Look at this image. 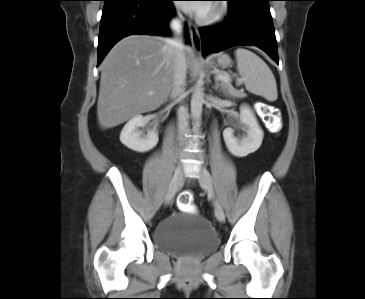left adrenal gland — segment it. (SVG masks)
Returning <instances> with one entry per match:
<instances>
[{"label":"left adrenal gland","instance_id":"a2214340","mask_svg":"<svg viewBox=\"0 0 365 299\" xmlns=\"http://www.w3.org/2000/svg\"><path fill=\"white\" fill-rule=\"evenodd\" d=\"M214 89H215V91H219V92L223 91V88L220 86V83L217 79L215 80Z\"/></svg>","mask_w":365,"mask_h":299}]
</instances>
